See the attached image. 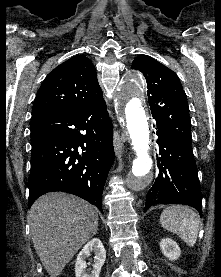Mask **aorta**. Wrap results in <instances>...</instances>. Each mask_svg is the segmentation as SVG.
<instances>
[{
  "instance_id": "obj_1",
  "label": "aorta",
  "mask_w": 221,
  "mask_h": 277,
  "mask_svg": "<svg viewBox=\"0 0 221 277\" xmlns=\"http://www.w3.org/2000/svg\"><path fill=\"white\" fill-rule=\"evenodd\" d=\"M143 86L141 75L132 70L125 74L117 91L119 115L136 154L128 177V186L135 191L146 188L153 179L149 124L142 99Z\"/></svg>"
}]
</instances>
